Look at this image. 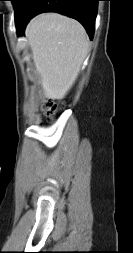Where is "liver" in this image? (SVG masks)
Wrapping results in <instances>:
<instances>
[{
  "label": "liver",
  "instance_id": "1",
  "mask_svg": "<svg viewBox=\"0 0 133 253\" xmlns=\"http://www.w3.org/2000/svg\"><path fill=\"white\" fill-rule=\"evenodd\" d=\"M43 95L63 99L80 72L89 50L84 27L56 13L33 18L25 29Z\"/></svg>",
  "mask_w": 133,
  "mask_h": 253
}]
</instances>
